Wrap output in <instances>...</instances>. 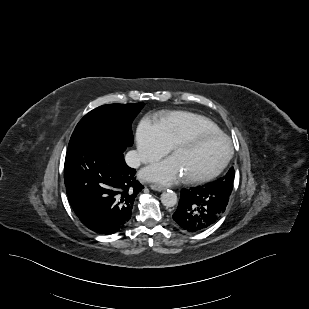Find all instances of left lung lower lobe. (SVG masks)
Segmentation results:
<instances>
[{"instance_id": "left-lung-lower-lobe-1", "label": "left lung lower lobe", "mask_w": 309, "mask_h": 309, "mask_svg": "<svg viewBox=\"0 0 309 309\" xmlns=\"http://www.w3.org/2000/svg\"><path fill=\"white\" fill-rule=\"evenodd\" d=\"M232 189L213 184L182 189L175 224L186 232L198 233L214 225L223 215Z\"/></svg>"}]
</instances>
